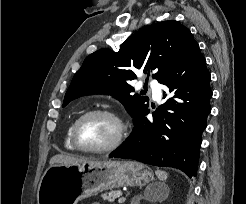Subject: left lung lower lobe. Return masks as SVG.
<instances>
[{
  "label": "left lung lower lobe",
  "instance_id": "obj_1",
  "mask_svg": "<svg viewBox=\"0 0 246 204\" xmlns=\"http://www.w3.org/2000/svg\"><path fill=\"white\" fill-rule=\"evenodd\" d=\"M210 74L195 44L177 68L162 82L167 101L148 120L145 110L127 140L109 157L134 159L161 167H174L196 176L201 135L211 112Z\"/></svg>",
  "mask_w": 246,
  "mask_h": 204
}]
</instances>
